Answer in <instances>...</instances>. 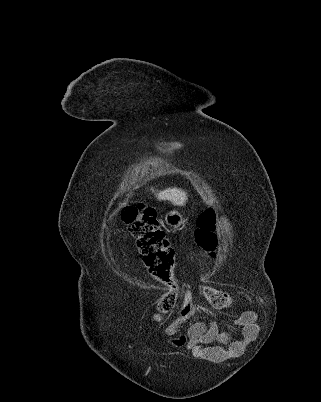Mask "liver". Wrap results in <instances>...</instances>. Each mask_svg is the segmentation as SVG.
Wrapping results in <instances>:
<instances>
[{"label":"liver","mask_w":321,"mask_h":402,"mask_svg":"<svg viewBox=\"0 0 321 402\" xmlns=\"http://www.w3.org/2000/svg\"><path fill=\"white\" fill-rule=\"evenodd\" d=\"M158 200H168L177 206H184L187 201V195L178 188H168L156 194Z\"/></svg>","instance_id":"1"}]
</instances>
